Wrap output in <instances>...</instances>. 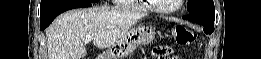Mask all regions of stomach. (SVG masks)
Segmentation results:
<instances>
[{"label": "stomach", "instance_id": "obj_1", "mask_svg": "<svg viewBox=\"0 0 261 59\" xmlns=\"http://www.w3.org/2000/svg\"><path fill=\"white\" fill-rule=\"evenodd\" d=\"M155 38V31L149 26H138L115 42L107 52L100 54L101 59H124L138 47L149 45Z\"/></svg>", "mask_w": 261, "mask_h": 59}]
</instances>
